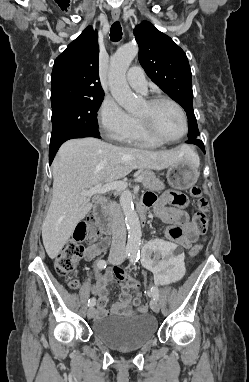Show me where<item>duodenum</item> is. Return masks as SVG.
Listing matches in <instances>:
<instances>
[{"mask_svg": "<svg viewBox=\"0 0 249 382\" xmlns=\"http://www.w3.org/2000/svg\"><path fill=\"white\" fill-rule=\"evenodd\" d=\"M106 200L103 197H100L93 206V213L95 218L101 225L102 231L105 235H109L112 231V224L109 217L105 213ZM146 205L140 203L137 207L141 223L146 222Z\"/></svg>", "mask_w": 249, "mask_h": 382, "instance_id": "obj_1", "label": "duodenum"}]
</instances>
